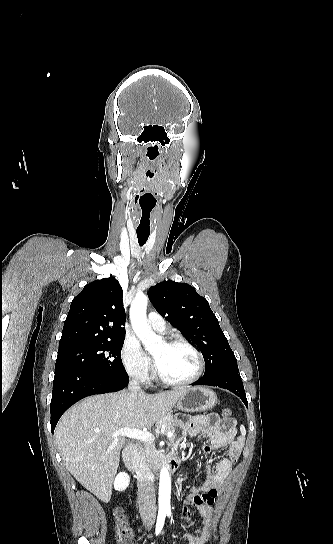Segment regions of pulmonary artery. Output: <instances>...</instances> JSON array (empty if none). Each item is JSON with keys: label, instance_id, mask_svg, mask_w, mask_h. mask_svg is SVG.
I'll use <instances>...</instances> for the list:
<instances>
[{"label": "pulmonary artery", "instance_id": "1", "mask_svg": "<svg viewBox=\"0 0 333 544\" xmlns=\"http://www.w3.org/2000/svg\"><path fill=\"white\" fill-rule=\"evenodd\" d=\"M148 323L149 325L159 332H165L166 330V323L165 320L161 315H159L156 312H150L148 315Z\"/></svg>", "mask_w": 333, "mask_h": 544}]
</instances>
